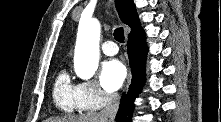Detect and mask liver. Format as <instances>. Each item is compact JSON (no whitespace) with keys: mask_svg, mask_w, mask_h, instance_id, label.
<instances>
[{"mask_svg":"<svg viewBox=\"0 0 221 122\" xmlns=\"http://www.w3.org/2000/svg\"><path fill=\"white\" fill-rule=\"evenodd\" d=\"M100 113H88L79 117L48 118L44 122H108Z\"/></svg>","mask_w":221,"mask_h":122,"instance_id":"1","label":"liver"}]
</instances>
